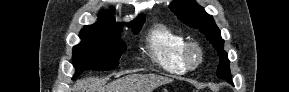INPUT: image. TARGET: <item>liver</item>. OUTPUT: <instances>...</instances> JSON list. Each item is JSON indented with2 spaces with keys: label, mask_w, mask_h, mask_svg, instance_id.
<instances>
[{
  "label": "liver",
  "mask_w": 289,
  "mask_h": 92,
  "mask_svg": "<svg viewBox=\"0 0 289 92\" xmlns=\"http://www.w3.org/2000/svg\"><path fill=\"white\" fill-rule=\"evenodd\" d=\"M172 79L155 74H132L119 78L107 85L99 81H85L84 85L77 83L75 92H152L161 85L171 83Z\"/></svg>",
  "instance_id": "liver-1"
}]
</instances>
